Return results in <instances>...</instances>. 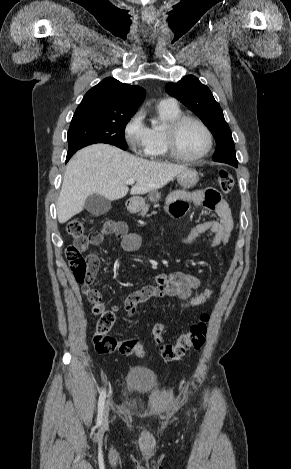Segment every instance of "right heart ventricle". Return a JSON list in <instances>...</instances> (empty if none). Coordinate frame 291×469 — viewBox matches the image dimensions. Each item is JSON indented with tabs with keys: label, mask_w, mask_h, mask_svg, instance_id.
Here are the masks:
<instances>
[{
	"label": "right heart ventricle",
	"mask_w": 291,
	"mask_h": 469,
	"mask_svg": "<svg viewBox=\"0 0 291 469\" xmlns=\"http://www.w3.org/2000/svg\"><path fill=\"white\" fill-rule=\"evenodd\" d=\"M158 114L165 125L182 115L178 106L172 107L164 105L158 106ZM164 128L165 127L149 128V143L144 154L151 160L161 161L169 157L164 142Z\"/></svg>",
	"instance_id": "right-heart-ventricle-1"
}]
</instances>
